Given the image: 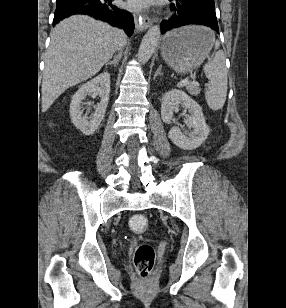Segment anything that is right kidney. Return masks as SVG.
<instances>
[{
  "label": "right kidney",
  "mask_w": 286,
  "mask_h": 308,
  "mask_svg": "<svg viewBox=\"0 0 286 308\" xmlns=\"http://www.w3.org/2000/svg\"><path fill=\"white\" fill-rule=\"evenodd\" d=\"M93 93L101 97V101L96 107L93 117L89 120L83 117L81 103L82 100ZM110 94V74L108 72L101 73L97 77L83 84L72 97L70 103V116L74 126L79 129L84 135L90 136L100 126L104 119L106 108L109 102Z\"/></svg>",
  "instance_id": "1"
}]
</instances>
